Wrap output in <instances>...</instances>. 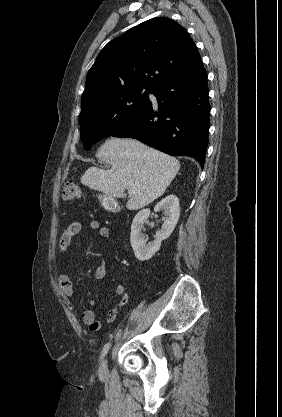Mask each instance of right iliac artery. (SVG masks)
Segmentation results:
<instances>
[{"instance_id": "82829eb1", "label": "right iliac artery", "mask_w": 282, "mask_h": 417, "mask_svg": "<svg viewBox=\"0 0 282 417\" xmlns=\"http://www.w3.org/2000/svg\"><path fill=\"white\" fill-rule=\"evenodd\" d=\"M110 346H111L110 342H108L104 345V348H103V350L101 352V355H100V360H102L105 357V355L108 353V351L110 349Z\"/></svg>"}]
</instances>
